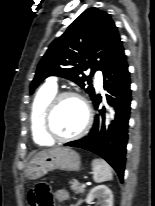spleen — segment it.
<instances>
[{"label": "spleen", "mask_w": 155, "mask_h": 206, "mask_svg": "<svg viewBox=\"0 0 155 206\" xmlns=\"http://www.w3.org/2000/svg\"><path fill=\"white\" fill-rule=\"evenodd\" d=\"M93 179L96 183L113 180V173L110 165L103 159L92 161Z\"/></svg>", "instance_id": "3e777b00"}]
</instances>
